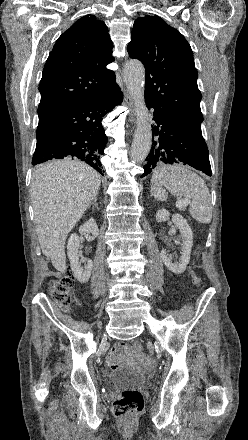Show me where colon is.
Wrapping results in <instances>:
<instances>
[{"label":"colon","mask_w":248,"mask_h":440,"mask_svg":"<svg viewBox=\"0 0 248 440\" xmlns=\"http://www.w3.org/2000/svg\"><path fill=\"white\" fill-rule=\"evenodd\" d=\"M192 279L196 285H200V279L192 272ZM74 275L71 270L61 278L54 280L50 285L51 296L62 311H69L74 288ZM127 350L136 352L142 349V343L135 341L126 347ZM144 407V398L138 390H126L114 401L112 409L116 417L125 418L137 415Z\"/></svg>","instance_id":"1"}]
</instances>
